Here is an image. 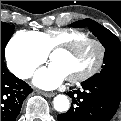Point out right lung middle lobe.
Returning a JSON list of instances; mask_svg holds the SVG:
<instances>
[{
  "label": "right lung middle lobe",
  "instance_id": "right-lung-middle-lobe-1",
  "mask_svg": "<svg viewBox=\"0 0 121 121\" xmlns=\"http://www.w3.org/2000/svg\"><path fill=\"white\" fill-rule=\"evenodd\" d=\"M12 34H13V26L1 22V61H3L5 58L4 49Z\"/></svg>",
  "mask_w": 121,
  "mask_h": 121
}]
</instances>
